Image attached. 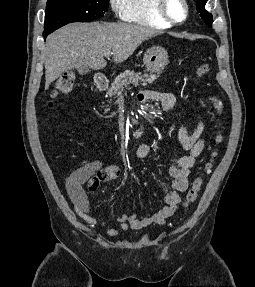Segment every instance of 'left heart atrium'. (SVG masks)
Wrapping results in <instances>:
<instances>
[{
    "label": "left heart atrium",
    "mask_w": 255,
    "mask_h": 287,
    "mask_svg": "<svg viewBox=\"0 0 255 287\" xmlns=\"http://www.w3.org/2000/svg\"><path fill=\"white\" fill-rule=\"evenodd\" d=\"M116 33H140V32H116ZM115 39H139V38H115ZM120 48H134V47H120Z\"/></svg>",
    "instance_id": "39dd6f15"
}]
</instances>
